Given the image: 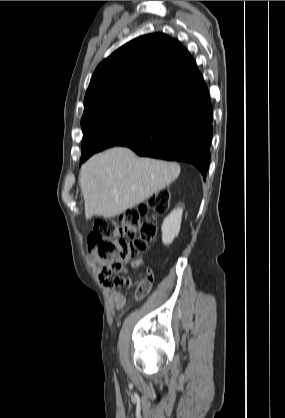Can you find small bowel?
Instances as JSON below:
<instances>
[{
	"mask_svg": "<svg viewBox=\"0 0 285 418\" xmlns=\"http://www.w3.org/2000/svg\"><path fill=\"white\" fill-rule=\"evenodd\" d=\"M89 263H90L91 268L95 272L99 273L100 267H101V264H100L99 260H97L93 257H90L89 258ZM133 265L136 266V267H142V266H145V261H144L143 258L140 257V258H137L134 261ZM154 278H155V276H154L153 268L150 265H146L145 266V275H144L143 279L141 280V282L148 287V291L150 290V288L152 286ZM124 283L127 284V285H130V281H128V280L124 281ZM108 290L110 292V297H111V299L113 301V304H114V309L116 311H119L124 305L123 295L120 292H118L114 287H108Z\"/></svg>",
	"mask_w": 285,
	"mask_h": 418,
	"instance_id": "1",
	"label": "small bowel"
}]
</instances>
